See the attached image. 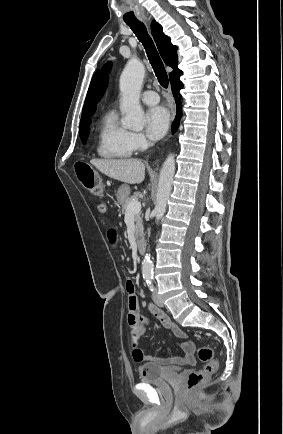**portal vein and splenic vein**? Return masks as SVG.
Here are the masks:
<instances>
[{"label": "portal vein and splenic vein", "mask_w": 283, "mask_h": 434, "mask_svg": "<svg viewBox=\"0 0 283 434\" xmlns=\"http://www.w3.org/2000/svg\"><path fill=\"white\" fill-rule=\"evenodd\" d=\"M140 211H141V203L139 201H133L129 203L126 213L137 214Z\"/></svg>", "instance_id": "18ae733b"}]
</instances>
